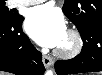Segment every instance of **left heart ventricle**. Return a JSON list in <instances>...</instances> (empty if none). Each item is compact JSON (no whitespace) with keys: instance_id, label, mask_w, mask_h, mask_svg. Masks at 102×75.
<instances>
[{"instance_id":"obj_1","label":"left heart ventricle","mask_w":102,"mask_h":75,"mask_svg":"<svg viewBox=\"0 0 102 75\" xmlns=\"http://www.w3.org/2000/svg\"><path fill=\"white\" fill-rule=\"evenodd\" d=\"M70 45V40L66 34L65 38L63 39L61 45L59 46V48H67Z\"/></svg>"}]
</instances>
